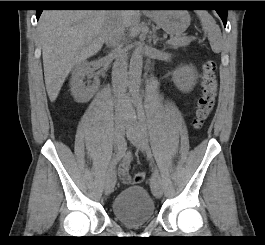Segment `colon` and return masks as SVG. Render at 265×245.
I'll list each match as a JSON object with an SVG mask.
<instances>
[{"label": "colon", "instance_id": "colon-1", "mask_svg": "<svg viewBox=\"0 0 265 245\" xmlns=\"http://www.w3.org/2000/svg\"><path fill=\"white\" fill-rule=\"evenodd\" d=\"M201 69V91L193 120L195 128H200L213 113L219 87L215 61L205 60ZM144 178L143 173H136L133 175V182L141 183Z\"/></svg>", "mask_w": 265, "mask_h": 245}]
</instances>
